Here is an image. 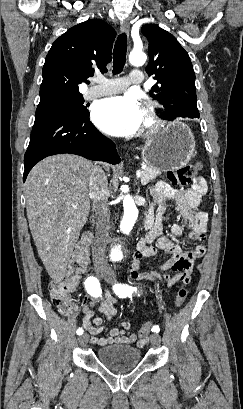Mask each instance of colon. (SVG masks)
<instances>
[{
	"label": "colon",
	"instance_id": "colon-1",
	"mask_svg": "<svg viewBox=\"0 0 243 409\" xmlns=\"http://www.w3.org/2000/svg\"><path fill=\"white\" fill-rule=\"evenodd\" d=\"M199 165L187 164L175 170L168 172L169 180L181 187L190 186L195 182V177ZM92 242L90 234H84L80 237L77 246L72 254L68 264L67 274L63 280H54L49 285V295L54 306L65 315L72 310L70 295L75 290L81 274L86 270L89 262V248ZM188 291L182 286L178 289L175 298V305L181 307L186 300ZM152 323H145L140 331L139 337H148L151 331Z\"/></svg>",
	"mask_w": 243,
	"mask_h": 409
}]
</instances>
